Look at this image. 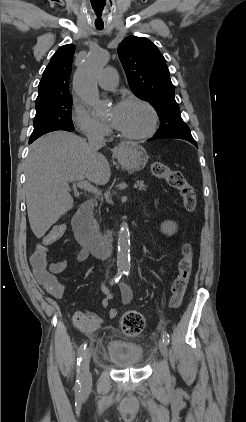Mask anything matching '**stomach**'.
I'll list each match as a JSON object with an SVG mask.
<instances>
[{
	"mask_svg": "<svg viewBox=\"0 0 246 422\" xmlns=\"http://www.w3.org/2000/svg\"><path fill=\"white\" fill-rule=\"evenodd\" d=\"M117 158L125 168L131 171H141L145 167L149 156L139 144L124 142L117 149Z\"/></svg>",
	"mask_w": 246,
	"mask_h": 422,
	"instance_id": "1",
	"label": "stomach"
}]
</instances>
